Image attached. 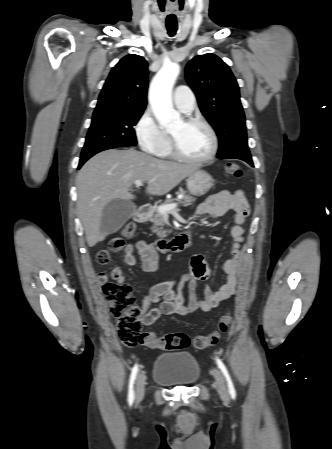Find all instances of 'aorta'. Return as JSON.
Returning <instances> with one entry per match:
<instances>
[{"label": "aorta", "mask_w": 332, "mask_h": 449, "mask_svg": "<svg viewBox=\"0 0 332 449\" xmlns=\"http://www.w3.org/2000/svg\"><path fill=\"white\" fill-rule=\"evenodd\" d=\"M177 63H167L158 71L149 88V102L153 113L163 128H173L181 123L180 114L172 104V88L179 75Z\"/></svg>", "instance_id": "obj_1"}]
</instances>
